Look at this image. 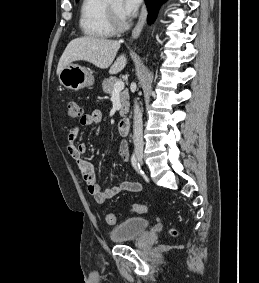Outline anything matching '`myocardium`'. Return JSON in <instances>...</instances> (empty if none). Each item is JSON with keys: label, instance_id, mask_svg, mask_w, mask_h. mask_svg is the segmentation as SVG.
Listing matches in <instances>:
<instances>
[{"label": "myocardium", "instance_id": "f54148a6", "mask_svg": "<svg viewBox=\"0 0 259 283\" xmlns=\"http://www.w3.org/2000/svg\"><path fill=\"white\" fill-rule=\"evenodd\" d=\"M110 19L116 31H122L127 27V22L120 11L115 9L110 3H107Z\"/></svg>", "mask_w": 259, "mask_h": 283}]
</instances>
